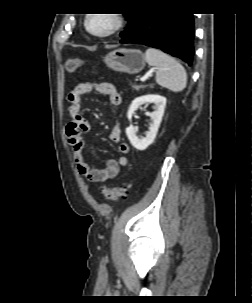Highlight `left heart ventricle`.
Here are the masks:
<instances>
[{
	"label": "left heart ventricle",
	"mask_w": 252,
	"mask_h": 303,
	"mask_svg": "<svg viewBox=\"0 0 252 303\" xmlns=\"http://www.w3.org/2000/svg\"><path fill=\"white\" fill-rule=\"evenodd\" d=\"M111 23V18L107 15H99L92 18L90 25L95 30L107 28Z\"/></svg>",
	"instance_id": "b2bd125f"
}]
</instances>
